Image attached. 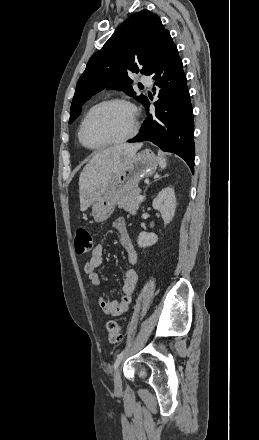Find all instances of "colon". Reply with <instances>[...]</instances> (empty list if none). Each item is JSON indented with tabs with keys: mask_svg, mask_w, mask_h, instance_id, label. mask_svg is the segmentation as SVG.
I'll use <instances>...</instances> for the list:
<instances>
[{
	"mask_svg": "<svg viewBox=\"0 0 259 440\" xmlns=\"http://www.w3.org/2000/svg\"><path fill=\"white\" fill-rule=\"evenodd\" d=\"M93 248V238L90 231L81 227L78 228L75 235V251L77 254H85ZM108 339L111 343H120L123 340V332L120 325L115 321L107 323Z\"/></svg>",
	"mask_w": 259,
	"mask_h": 440,
	"instance_id": "5ec220e1",
	"label": "colon"
}]
</instances>
